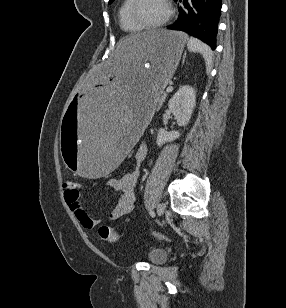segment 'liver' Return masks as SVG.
Returning a JSON list of instances; mask_svg holds the SVG:
<instances>
[{"label":"liver","instance_id":"obj_1","mask_svg":"<svg viewBox=\"0 0 286 308\" xmlns=\"http://www.w3.org/2000/svg\"><path fill=\"white\" fill-rule=\"evenodd\" d=\"M153 32H145V33L137 34V35L121 40L117 46V49L115 50L114 57L121 55L124 52V50L127 47V42L134 41L135 39H141V38L148 37Z\"/></svg>","mask_w":286,"mask_h":308}]
</instances>
